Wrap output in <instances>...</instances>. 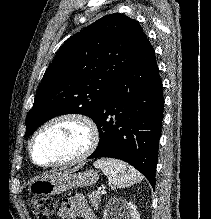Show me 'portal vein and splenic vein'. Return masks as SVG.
Segmentation results:
<instances>
[{"label": "portal vein and splenic vein", "mask_w": 211, "mask_h": 219, "mask_svg": "<svg viewBox=\"0 0 211 219\" xmlns=\"http://www.w3.org/2000/svg\"><path fill=\"white\" fill-rule=\"evenodd\" d=\"M97 193H98V194H100V193L106 194V190H104V189H98Z\"/></svg>", "instance_id": "portal-vein-and-splenic-vein-1"}]
</instances>
